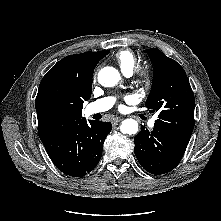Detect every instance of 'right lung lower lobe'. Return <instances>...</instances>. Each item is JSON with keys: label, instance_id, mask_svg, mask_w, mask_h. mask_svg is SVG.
Instances as JSON below:
<instances>
[{"label": "right lung lower lobe", "instance_id": "right-lung-lower-lobe-1", "mask_svg": "<svg viewBox=\"0 0 221 221\" xmlns=\"http://www.w3.org/2000/svg\"><path fill=\"white\" fill-rule=\"evenodd\" d=\"M110 122L84 119L42 141L54 165L63 173L82 177L100 161Z\"/></svg>", "mask_w": 221, "mask_h": 221}]
</instances>
